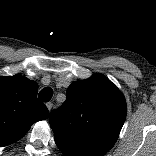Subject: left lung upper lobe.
Here are the masks:
<instances>
[{"instance_id":"1","label":"left lung upper lobe","mask_w":156,"mask_h":156,"mask_svg":"<svg viewBox=\"0 0 156 156\" xmlns=\"http://www.w3.org/2000/svg\"><path fill=\"white\" fill-rule=\"evenodd\" d=\"M126 101L104 75L73 82L62 107L51 112L55 140L88 156H103L116 142L126 118Z\"/></svg>"}]
</instances>
